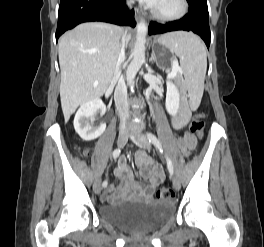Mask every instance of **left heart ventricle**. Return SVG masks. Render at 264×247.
Here are the masks:
<instances>
[{
    "instance_id": "1",
    "label": "left heart ventricle",
    "mask_w": 264,
    "mask_h": 247,
    "mask_svg": "<svg viewBox=\"0 0 264 247\" xmlns=\"http://www.w3.org/2000/svg\"><path fill=\"white\" fill-rule=\"evenodd\" d=\"M155 9L161 14H171L179 9L178 0H159Z\"/></svg>"
}]
</instances>
